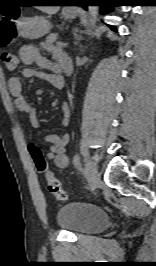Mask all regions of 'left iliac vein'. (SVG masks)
Instances as JSON below:
<instances>
[{
	"mask_svg": "<svg viewBox=\"0 0 156 266\" xmlns=\"http://www.w3.org/2000/svg\"><path fill=\"white\" fill-rule=\"evenodd\" d=\"M85 173L91 190H95L100 182V176L93 161L88 160L85 164Z\"/></svg>",
	"mask_w": 156,
	"mask_h": 266,
	"instance_id": "obj_1",
	"label": "left iliac vein"
}]
</instances>
